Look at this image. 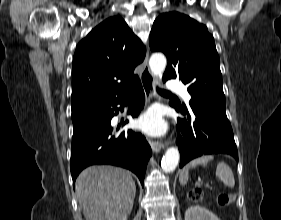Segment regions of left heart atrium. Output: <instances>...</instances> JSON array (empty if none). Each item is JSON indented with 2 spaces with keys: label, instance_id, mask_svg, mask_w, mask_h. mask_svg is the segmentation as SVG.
I'll use <instances>...</instances> for the list:
<instances>
[{
  "label": "left heart atrium",
  "instance_id": "left-heart-atrium-1",
  "mask_svg": "<svg viewBox=\"0 0 281 220\" xmlns=\"http://www.w3.org/2000/svg\"><path fill=\"white\" fill-rule=\"evenodd\" d=\"M137 127L151 136H160L166 131V124L157 109H150L137 121Z\"/></svg>",
  "mask_w": 281,
  "mask_h": 220
}]
</instances>
